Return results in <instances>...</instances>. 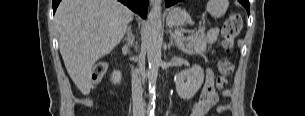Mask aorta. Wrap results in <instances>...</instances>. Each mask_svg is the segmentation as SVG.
Segmentation results:
<instances>
[{
    "mask_svg": "<svg viewBox=\"0 0 305 116\" xmlns=\"http://www.w3.org/2000/svg\"><path fill=\"white\" fill-rule=\"evenodd\" d=\"M144 44L148 58V82L150 93H154L157 73L161 64L162 20L161 6L155 5L148 15L144 30ZM151 109V106L149 107Z\"/></svg>",
    "mask_w": 305,
    "mask_h": 116,
    "instance_id": "obj_1",
    "label": "aorta"
}]
</instances>
